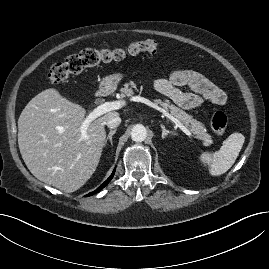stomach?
Here are the masks:
<instances>
[{"label":"stomach","instance_id":"stomach-1","mask_svg":"<svg viewBox=\"0 0 269 269\" xmlns=\"http://www.w3.org/2000/svg\"><path fill=\"white\" fill-rule=\"evenodd\" d=\"M122 78H123V74L120 72L106 76L100 82V85H99L100 91L104 93L114 91L117 88L118 83L121 81Z\"/></svg>","mask_w":269,"mask_h":269}]
</instances>
